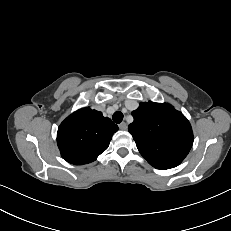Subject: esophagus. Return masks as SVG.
I'll list each match as a JSON object with an SVG mask.
<instances>
[{
    "instance_id": "1",
    "label": "esophagus",
    "mask_w": 231,
    "mask_h": 231,
    "mask_svg": "<svg viewBox=\"0 0 231 231\" xmlns=\"http://www.w3.org/2000/svg\"><path fill=\"white\" fill-rule=\"evenodd\" d=\"M119 128L121 130H126L127 129V124L125 122H122V123L119 124Z\"/></svg>"
}]
</instances>
